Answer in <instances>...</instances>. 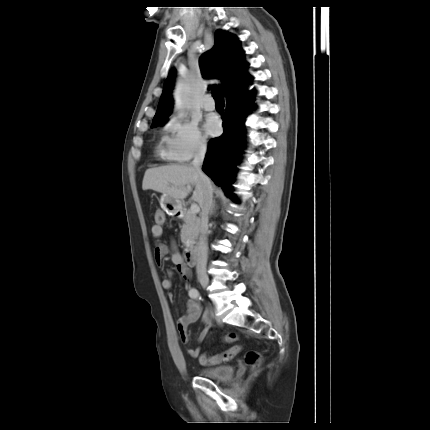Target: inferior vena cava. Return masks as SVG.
Returning a JSON list of instances; mask_svg holds the SVG:
<instances>
[{
    "label": "inferior vena cava",
    "mask_w": 430,
    "mask_h": 430,
    "mask_svg": "<svg viewBox=\"0 0 430 430\" xmlns=\"http://www.w3.org/2000/svg\"><path fill=\"white\" fill-rule=\"evenodd\" d=\"M206 154V147H201L194 156L193 167L199 173V177L203 187V195L201 199V220L199 225V239L197 243V265L196 272L198 277H206V265L208 258V215L212 207L213 188L210 179L201 171Z\"/></svg>",
    "instance_id": "1"
}]
</instances>
